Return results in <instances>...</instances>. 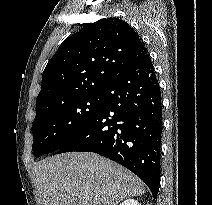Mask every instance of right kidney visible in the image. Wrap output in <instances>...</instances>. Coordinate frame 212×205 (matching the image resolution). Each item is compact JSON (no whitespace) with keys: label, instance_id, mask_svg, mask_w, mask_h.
I'll list each match as a JSON object with an SVG mask.
<instances>
[{"label":"right kidney","instance_id":"right-kidney-1","mask_svg":"<svg viewBox=\"0 0 212 205\" xmlns=\"http://www.w3.org/2000/svg\"><path fill=\"white\" fill-rule=\"evenodd\" d=\"M119 205H141L137 200L134 199H128L124 202L120 203Z\"/></svg>","mask_w":212,"mask_h":205}]
</instances>
